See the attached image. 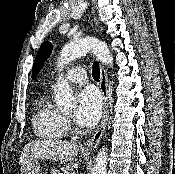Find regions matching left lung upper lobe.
<instances>
[{
  "mask_svg": "<svg viewBox=\"0 0 175 174\" xmlns=\"http://www.w3.org/2000/svg\"><path fill=\"white\" fill-rule=\"evenodd\" d=\"M51 51H52V44L50 42H46L41 46L34 61L32 78H34L36 74L39 72L44 61L49 57Z\"/></svg>",
  "mask_w": 175,
  "mask_h": 174,
  "instance_id": "1",
  "label": "left lung upper lobe"
}]
</instances>
